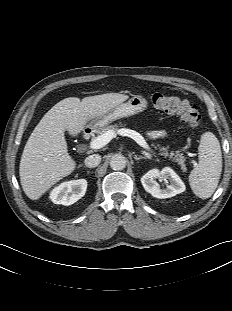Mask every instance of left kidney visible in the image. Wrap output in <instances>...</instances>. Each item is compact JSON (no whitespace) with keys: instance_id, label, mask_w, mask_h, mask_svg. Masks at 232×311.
<instances>
[{"instance_id":"obj_1","label":"left kidney","mask_w":232,"mask_h":311,"mask_svg":"<svg viewBox=\"0 0 232 311\" xmlns=\"http://www.w3.org/2000/svg\"><path fill=\"white\" fill-rule=\"evenodd\" d=\"M157 178L168 179L169 185L161 189L155 181ZM141 183L148 193L159 199L173 197L186 189L181 178L170 167H165L161 171L156 168L149 170L141 177Z\"/></svg>"}]
</instances>
